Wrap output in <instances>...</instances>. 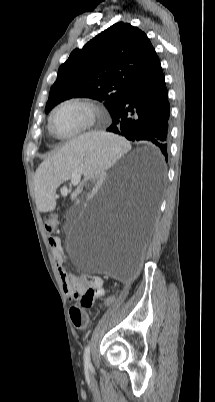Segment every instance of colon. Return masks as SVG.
I'll list each match as a JSON object with an SVG mask.
<instances>
[{"label": "colon", "mask_w": 215, "mask_h": 402, "mask_svg": "<svg viewBox=\"0 0 215 402\" xmlns=\"http://www.w3.org/2000/svg\"><path fill=\"white\" fill-rule=\"evenodd\" d=\"M45 226L49 233H53L56 230L57 220L54 215H48L45 219ZM90 277V276H89ZM116 296H121V291H116ZM92 291L86 293L80 299V305H75L70 309V318L73 325L78 329H83L86 327L88 322V316L83 310L92 304ZM112 302V297L105 299L104 304L109 305Z\"/></svg>", "instance_id": "obj_1"}]
</instances>
